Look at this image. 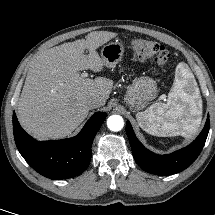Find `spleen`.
Listing matches in <instances>:
<instances>
[{"label":"spleen","instance_id":"1","mask_svg":"<svg viewBox=\"0 0 215 215\" xmlns=\"http://www.w3.org/2000/svg\"><path fill=\"white\" fill-rule=\"evenodd\" d=\"M202 100L193 73L181 62L175 70V80L166 103L153 104L136 114L140 127L147 133L160 136L191 138L199 129Z\"/></svg>","mask_w":215,"mask_h":215}]
</instances>
